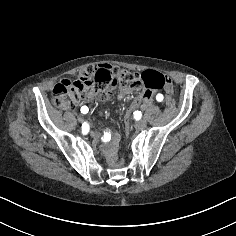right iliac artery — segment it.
Instances as JSON below:
<instances>
[{
  "instance_id": "obj_1",
  "label": "right iliac artery",
  "mask_w": 236,
  "mask_h": 236,
  "mask_svg": "<svg viewBox=\"0 0 236 236\" xmlns=\"http://www.w3.org/2000/svg\"><path fill=\"white\" fill-rule=\"evenodd\" d=\"M89 129H90L89 124L84 122L82 124V133H83V135H86L89 132Z\"/></svg>"
}]
</instances>
